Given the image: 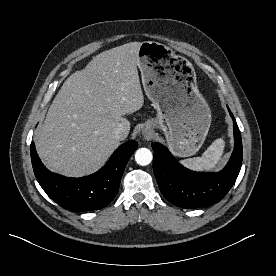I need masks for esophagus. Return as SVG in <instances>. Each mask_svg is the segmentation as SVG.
<instances>
[{
	"instance_id": "1",
	"label": "esophagus",
	"mask_w": 276,
	"mask_h": 276,
	"mask_svg": "<svg viewBox=\"0 0 276 276\" xmlns=\"http://www.w3.org/2000/svg\"><path fill=\"white\" fill-rule=\"evenodd\" d=\"M143 135H144L145 138H149L150 135H151V132L147 131V130H144Z\"/></svg>"
}]
</instances>
